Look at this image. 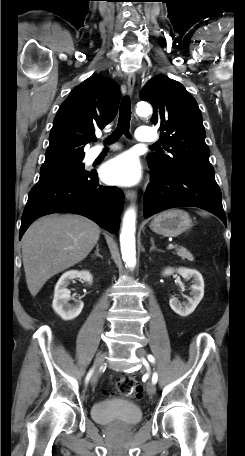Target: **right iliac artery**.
<instances>
[{"label": "right iliac artery", "mask_w": 245, "mask_h": 456, "mask_svg": "<svg viewBox=\"0 0 245 456\" xmlns=\"http://www.w3.org/2000/svg\"><path fill=\"white\" fill-rule=\"evenodd\" d=\"M92 372H93V370H90V372L87 374L86 383H88V381H89V379H90V377L92 375Z\"/></svg>", "instance_id": "1"}]
</instances>
